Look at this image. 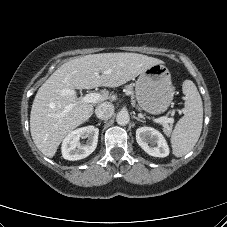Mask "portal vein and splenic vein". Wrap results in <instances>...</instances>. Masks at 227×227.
<instances>
[{
    "label": "portal vein and splenic vein",
    "mask_w": 227,
    "mask_h": 227,
    "mask_svg": "<svg viewBox=\"0 0 227 227\" xmlns=\"http://www.w3.org/2000/svg\"><path fill=\"white\" fill-rule=\"evenodd\" d=\"M108 73V72H107ZM76 92L71 89H63L61 91V95H72L75 94ZM101 99V94L100 93H89L86 94L84 97H82L80 100L82 102H87V103H95ZM72 108V105H69L65 108L64 112H68ZM154 122L160 123V124H165V123H173L174 119L173 118H167V117H160L157 119H154Z\"/></svg>",
    "instance_id": "portal-vein-and-splenic-vein-1"
}]
</instances>
